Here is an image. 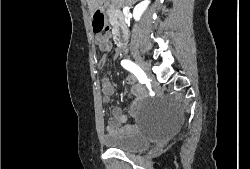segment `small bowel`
<instances>
[{
	"instance_id": "small-bowel-1",
	"label": "small bowel",
	"mask_w": 250,
	"mask_h": 169,
	"mask_svg": "<svg viewBox=\"0 0 250 169\" xmlns=\"http://www.w3.org/2000/svg\"><path fill=\"white\" fill-rule=\"evenodd\" d=\"M95 43L97 44L98 48L104 53L110 51L111 42L108 36L97 35L95 37ZM104 63L105 57H103L100 61V66H103ZM126 83L131 86L130 97L132 98V108H137L141 105L145 96L144 89L140 85H138L137 80L133 75H128L126 77ZM102 88L104 93V102L110 103L111 97L115 92V88L112 81L109 78H104L102 81ZM125 121L126 118L123 114L122 109L119 107L114 108L112 110V118L110 119L108 124L109 131L113 134L118 132L123 134L131 133L134 130V125L124 124L123 126H121V123H125Z\"/></svg>"
}]
</instances>
